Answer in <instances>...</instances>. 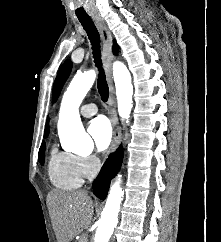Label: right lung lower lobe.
Masks as SVG:
<instances>
[{
  "instance_id": "obj_1",
  "label": "right lung lower lobe",
  "mask_w": 221,
  "mask_h": 242,
  "mask_svg": "<svg viewBox=\"0 0 221 242\" xmlns=\"http://www.w3.org/2000/svg\"><path fill=\"white\" fill-rule=\"evenodd\" d=\"M123 160V149L120 146L114 154H111L103 165L99 175L93 182L95 195L104 200L107 196L110 182L118 173Z\"/></svg>"
}]
</instances>
